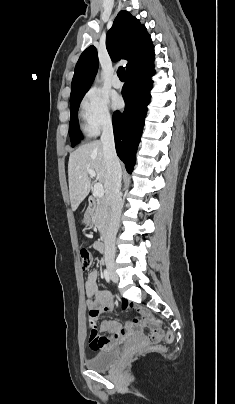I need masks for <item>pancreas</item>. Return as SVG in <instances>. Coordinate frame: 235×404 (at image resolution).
<instances>
[{"instance_id":"1","label":"pancreas","mask_w":235,"mask_h":404,"mask_svg":"<svg viewBox=\"0 0 235 404\" xmlns=\"http://www.w3.org/2000/svg\"><path fill=\"white\" fill-rule=\"evenodd\" d=\"M92 221L102 235H105L108 221V206L104 200H97L92 212Z\"/></svg>"}]
</instances>
